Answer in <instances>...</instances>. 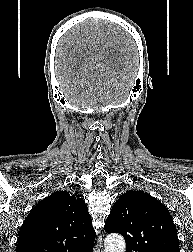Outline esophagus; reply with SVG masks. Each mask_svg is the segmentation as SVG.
<instances>
[{"instance_id": "34e87169", "label": "esophagus", "mask_w": 193, "mask_h": 252, "mask_svg": "<svg viewBox=\"0 0 193 252\" xmlns=\"http://www.w3.org/2000/svg\"><path fill=\"white\" fill-rule=\"evenodd\" d=\"M97 249H98V252H104V250H103L102 235H100L98 237V240H97Z\"/></svg>"}]
</instances>
